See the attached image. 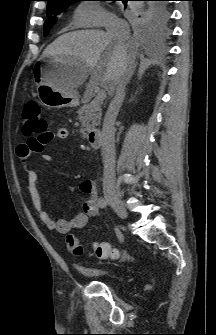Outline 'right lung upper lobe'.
I'll return each instance as SVG.
<instances>
[{
	"label": "right lung upper lobe",
	"mask_w": 216,
	"mask_h": 335,
	"mask_svg": "<svg viewBox=\"0 0 216 335\" xmlns=\"http://www.w3.org/2000/svg\"><path fill=\"white\" fill-rule=\"evenodd\" d=\"M46 1H48V5H49V4H53L57 2L75 1V0H46ZM76 1H79V0H76Z\"/></svg>",
	"instance_id": "1"
}]
</instances>
